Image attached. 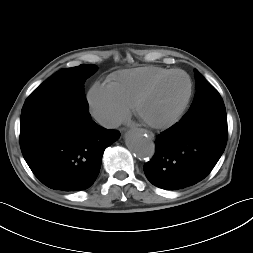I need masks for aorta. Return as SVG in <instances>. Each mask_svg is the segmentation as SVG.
<instances>
[{
	"label": "aorta",
	"instance_id": "obj_1",
	"mask_svg": "<svg viewBox=\"0 0 253 253\" xmlns=\"http://www.w3.org/2000/svg\"><path fill=\"white\" fill-rule=\"evenodd\" d=\"M126 145L139 159H149L155 153L153 140L140 131H129L126 136Z\"/></svg>",
	"mask_w": 253,
	"mask_h": 253
}]
</instances>
